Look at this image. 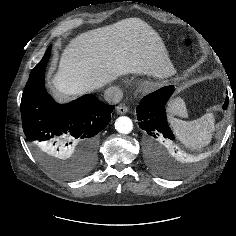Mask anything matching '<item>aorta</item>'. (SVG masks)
<instances>
[{
    "instance_id": "obj_1",
    "label": "aorta",
    "mask_w": 236,
    "mask_h": 236,
    "mask_svg": "<svg viewBox=\"0 0 236 236\" xmlns=\"http://www.w3.org/2000/svg\"><path fill=\"white\" fill-rule=\"evenodd\" d=\"M115 129L122 134H129L133 129L132 120L129 117L121 116L115 121Z\"/></svg>"
}]
</instances>
